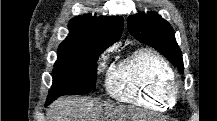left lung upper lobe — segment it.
<instances>
[{"label": "left lung upper lobe", "instance_id": "obj_1", "mask_svg": "<svg viewBox=\"0 0 217 121\" xmlns=\"http://www.w3.org/2000/svg\"><path fill=\"white\" fill-rule=\"evenodd\" d=\"M127 24L131 35L154 47L183 73L181 50L176 43L174 30L166 20L154 12L138 13L129 16Z\"/></svg>", "mask_w": 217, "mask_h": 121}]
</instances>
